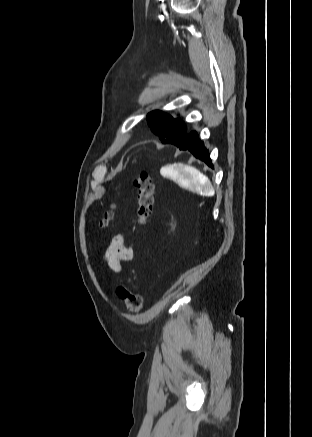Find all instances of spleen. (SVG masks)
Wrapping results in <instances>:
<instances>
[{
  "instance_id": "3e777b00",
  "label": "spleen",
  "mask_w": 312,
  "mask_h": 437,
  "mask_svg": "<svg viewBox=\"0 0 312 437\" xmlns=\"http://www.w3.org/2000/svg\"><path fill=\"white\" fill-rule=\"evenodd\" d=\"M166 174L201 195L211 196L215 192L208 177L194 167L179 164L178 169H174L173 166L167 168Z\"/></svg>"
}]
</instances>
